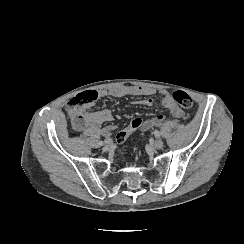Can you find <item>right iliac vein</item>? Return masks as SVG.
Listing matches in <instances>:
<instances>
[{"instance_id": "1", "label": "right iliac vein", "mask_w": 244, "mask_h": 244, "mask_svg": "<svg viewBox=\"0 0 244 244\" xmlns=\"http://www.w3.org/2000/svg\"><path fill=\"white\" fill-rule=\"evenodd\" d=\"M104 144H105V147H106V148H109V147H111V146L113 145V141H112V139L107 138V139L104 141Z\"/></svg>"}]
</instances>
